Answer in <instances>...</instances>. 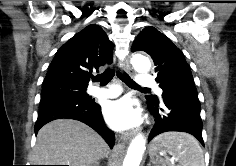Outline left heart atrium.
Segmentation results:
<instances>
[{
	"label": "left heart atrium",
	"mask_w": 236,
	"mask_h": 166,
	"mask_svg": "<svg viewBox=\"0 0 236 166\" xmlns=\"http://www.w3.org/2000/svg\"><path fill=\"white\" fill-rule=\"evenodd\" d=\"M103 114L108 125L119 131L136 127L141 122L140 110L128 98L108 102Z\"/></svg>",
	"instance_id": "left-heart-atrium-1"
}]
</instances>
